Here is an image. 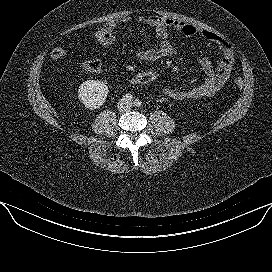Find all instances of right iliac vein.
<instances>
[{
	"instance_id": "1",
	"label": "right iliac vein",
	"mask_w": 272,
	"mask_h": 272,
	"mask_svg": "<svg viewBox=\"0 0 272 272\" xmlns=\"http://www.w3.org/2000/svg\"><path fill=\"white\" fill-rule=\"evenodd\" d=\"M124 106H125V101L122 100V101L119 103V106H118V107H119L120 110H122V109L124 108Z\"/></svg>"
}]
</instances>
